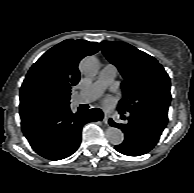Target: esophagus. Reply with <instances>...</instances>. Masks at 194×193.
I'll return each instance as SVG.
<instances>
[{
	"mask_svg": "<svg viewBox=\"0 0 194 193\" xmlns=\"http://www.w3.org/2000/svg\"><path fill=\"white\" fill-rule=\"evenodd\" d=\"M108 121H109V115L107 113L104 114V118H103V122L105 124H108Z\"/></svg>",
	"mask_w": 194,
	"mask_h": 193,
	"instance_id": "esophagus-1",
	"label": "esophagus"
}]
</instances>
